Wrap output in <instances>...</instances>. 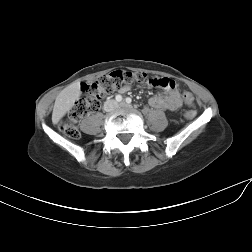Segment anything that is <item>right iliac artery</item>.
Instances as JSON below:
<instances>
[{
	"instance_id": "obj_1",
	"label": "right iliac artery",
	"mask_w": 252,
	"mask_h": 252,
	"mask_svg": "<svg viewBox=\"0 0 252 252\" xmlns=\"http://www.w3.org/2000/svg\"><path fill=\"white\" fill-rule=\"evenodd\" d=\"M115 98H116V101H118V102L122 101V96L121 95H117Z\"/></svg>"
}]
</instances>
